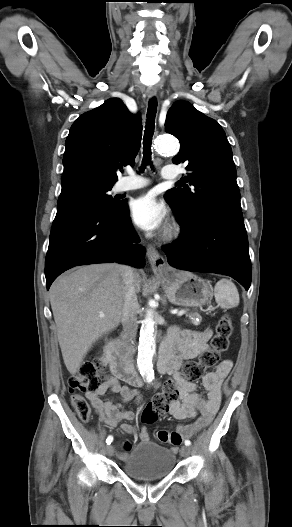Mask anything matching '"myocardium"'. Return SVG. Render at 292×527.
Here are the masks:
<instances>
[{"instance_id": "obj_1", "label": "myocardium", "mask_w": 292, "mask_h": 527, "mask_svg": "<svg viewBox=\"0 0 292 527\" xmlns=\"http://www.w3.org/2000/svg\"><path fill=\"white\" fill-rule=\"evenodd\" d=\"M179 232H180V229L177 225H173L171 227H169L165 233H164V238L166 240H171V239H174L176 238L178 235H179Z\"/></svg>"}]
</instances>
